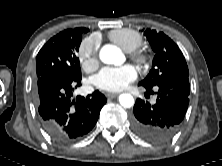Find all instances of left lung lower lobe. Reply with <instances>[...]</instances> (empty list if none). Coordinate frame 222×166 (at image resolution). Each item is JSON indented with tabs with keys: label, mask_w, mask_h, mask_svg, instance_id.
Wrapping results in <instances>:
<instances>
[{
	"label": "left lung lower lobe",
	"mask_w": 222,
	"mask_h": 166,
	"mask_svg": "<svg viewBox=\"0 0 222 166\" xmlns=\"http://www.w3.org/2000/svg\"><path fill=\"white\" fill-rule=\"evenodd\" d=\"M147 91L152 88L145 87ZM156 103L140 98L136 100L131 117V127L141 138L152 143L169 141L180 129L188 104L190 85L188 79H166L155 86Z\"/></svg>",
	"instance_id": "obj_1"
}]
</instances>
